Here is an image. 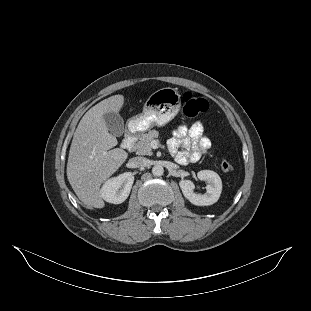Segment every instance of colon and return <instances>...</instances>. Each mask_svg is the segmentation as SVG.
Returning <instances> with one entry per match:
<instances>
[{"label": "colon", "instance_id": "obj_1", "mask_svg": "<svg viewBox=\"0 0 311 311\" xmlns=\"http://www.w3.org/2000/svg\"><path fill=\"white\" fill-rule=\"evenodd\" d=\"M208 109V103L204 98L196 96L191 92H186L183 95V113L190 118L196 117ZM221 169L224 172L233 170V164L229 160L221 162Z\"/></svg>", "mask_w": 311, "mask_h": 311}]
</instances>
